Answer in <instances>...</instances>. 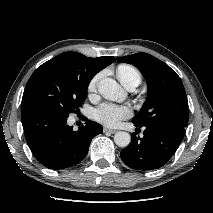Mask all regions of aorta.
<instances>
[{
  "instance_id": "aorta-1",
  "label": "aorta",
  "mask_w": 213,
  "mask_h": 213,
  "mask_svg": "<svg viewBox=\"0 0 213 213\" xmlns=\"http://www.w3.org/2000/svg\"><path fill=\"white\" fill-rule=\"evenodd\" d=\"M99 93L108 100H121L124 91L121 86L112 78H103L98 82ZM114 142L119 147H127L131 142V136L124 131H118L114 135Z\"/></svg>"
}]
</instances>
